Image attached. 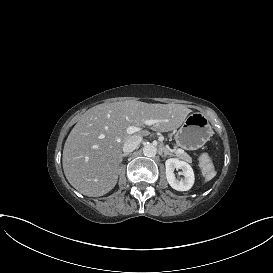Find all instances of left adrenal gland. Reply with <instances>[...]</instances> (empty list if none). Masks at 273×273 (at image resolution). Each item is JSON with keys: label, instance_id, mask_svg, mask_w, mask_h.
Here are the masks:
<instances>
[{"label": "left adrenal gland", "instance_id": "1", "mask_svg": "<svg viewBox=\"0 0 273 273\" xmlns=\"http://www.w3.org/2000/svg\"><path fill=\"white\" fill-rule=\"evenodd\" d=\"M161 150L164 152L163 157H175V155L173 153H170L166 147H162Z\"/></svg>", "mask_w": 273, "mask_h": 273}]
</instances>
